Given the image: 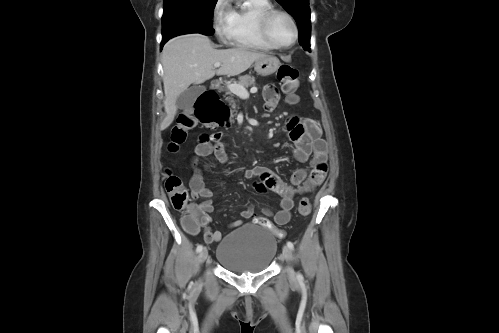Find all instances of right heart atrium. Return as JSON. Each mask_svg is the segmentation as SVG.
I'll list each match as a JSON object with an SVG mask.
<instances>
[{"instance_id":"d8ad5b80","label":"right heart atrium","mask_w":499,"mask_h":333,"mask_svg":"<svg viewBox=\"0 0 499 333\" xmlns=\"http://www.w3.org/2000/svg\"><path fill=\"white\" fill-rule=\"evenodd\" d=\"M212 27L217 37L223 42H229L233 24L232 7L228 0H215L211 12Z\"/></svg>"}]
</instances>
